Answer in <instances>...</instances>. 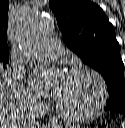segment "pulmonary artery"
Returning <instances> with one entry per match:
<instances>
[{
	"label": "pulmonary artery",
	"mask_w": 125,
	"mask_h": 128,
	"mask_svg": "<svg viewBox=\"0 0 125 128\" xmlns=\"http://www.w3.org/2000/svg\"><path fill=\"white\" fill-rule=\"evenodd\" d=\"M64 54V49L55 39H50L42 44L34 56L40 60H54L60 58Z\"/></svg>",
	"instance_id": "pulmonary-artery-1"
}]
</instances>
